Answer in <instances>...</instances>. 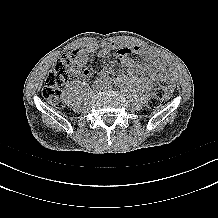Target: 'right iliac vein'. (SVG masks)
Segmentation results:
<instances>
[{"instance_id": "right-iliac-vein-1", "label": "right iliac vein", "mask_w": 218, "mask_h": 218, "mask_svg": "<svg viewBox=\"0 0 218 218\" xmlns=\"http://www.w3.org/2000/svg\"><path fill=\"white\" fill-rule=\"evenodd\" d=\"M101 87V83L93 84L94 91H98Z\"/></svg>"}]
</instances>
